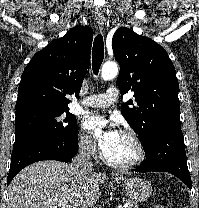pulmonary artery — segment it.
<instances>
[{"instance_id": "pulmonary-artery-1", "label": "pulmonary artery", "mask_w": 199, "mask_h": 208, "mask_svg": "<svg viewBox=\"0 0 199 208\" xmlns=\"http://www.w3.org/2000/svg\"><path fill=\"white\" fill-rule=\"evenodd\" d=\"M119 97V91L114 88H109L106 92L96 95H91L79 102L85 107H100L105 108L114 104Z\"/></svg>"}]
</instances>
